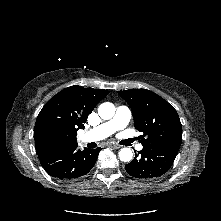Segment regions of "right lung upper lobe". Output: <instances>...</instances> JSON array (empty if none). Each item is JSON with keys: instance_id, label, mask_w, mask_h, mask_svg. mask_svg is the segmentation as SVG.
<instances>
[{"instance_id": "1", "label": "right lung upper lobe", "mask_w": 221, "mask_h": 221, "mask_svg": "<svg viewBox=\"0 0 221 221\" xmlns=\"http://www.w3.org/2000/svg\"><path fill=\"white\" fill-rule=\"evenodd\" d=\"M109 94L103 89L70 86L52 97L40 111L34 127L36 150L47 146L44 135L58 131L76 142L78 129L84 128L88 115ZM73 142V143H74Z\"/></svg>"}]
</instances>
